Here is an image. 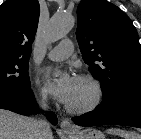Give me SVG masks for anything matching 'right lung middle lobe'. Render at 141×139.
<instances>
[{
    "label": "right lung middle lobe",
    "mask_w": 141,
    "mask_h": 139,
    "mask_svg": "<svg viewBox=\"0 0 141 139\" xmlns=\"http://www.w3.org/2000/svg\"><path fill=\"white\" fill-rule=\"evenodd\" d=\"M28 88V58L0 57V91Z\"/></svg>",
    "instance_id": "1"
}]
</instances>
